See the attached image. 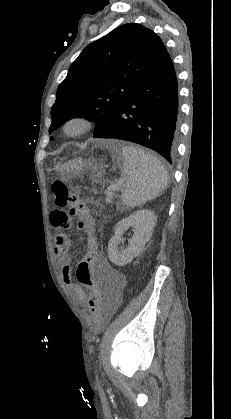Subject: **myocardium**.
I'll use <instances>...</instances> for the list:
<instances>
[{"mask_svg": "<svg viewBox=\"0 0 231 419\" xmlns=\"http://www.w3.org/2000/svg\"><path fill=\"white\" fill-rule=\"evenodd\" d=\"M94 128V122L85 115H73L62 124V132L68 137H79L89 133Z\"/></svg>", "mask_w": 231, "mask_h": 419, "instance_id": "obj_1", "label": "myocardium"}]
</instances>
